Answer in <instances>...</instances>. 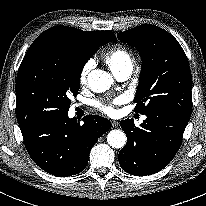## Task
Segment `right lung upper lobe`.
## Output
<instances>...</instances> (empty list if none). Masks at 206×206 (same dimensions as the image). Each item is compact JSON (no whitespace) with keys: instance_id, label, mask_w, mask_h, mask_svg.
Masks as SVG:
<instances>
[{"instance_id":"right-lung-upper-lobe-1","label":"right lung upper lobe","mask_w":206,"mask_h":206,"mask_svg":"<svg viewBox=\"0 0 206 206\" xmlns=\"http://www.w3.org/2000/svg\"><path fill=\"white\" fill-rule=\"evenodd\" d=\"M40 36H55L64 38L76 43H79L85 47H93L98 44H106L109 41L117 42L114 33L111 31H83L66 26L52 27ZM95 52L92 53V55ZM91 55V56H92Z\"/></svg>"}]
</instances>
